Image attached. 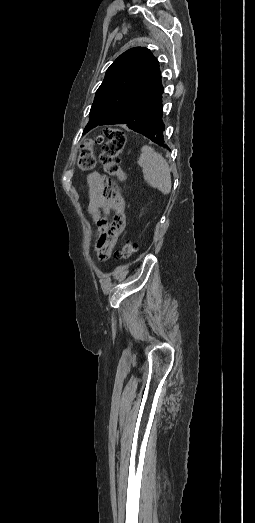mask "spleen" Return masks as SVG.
Masks as SVG:
<instances>
[{"instance_id": "spleen-1", "label": "spleen", "mask_w": 255, "mask_h": 523, "mask_svg": "<svg viewBox=\"0 0 255 523\" xmlns=\"http://www.w3.org/2000/svg\"><path fill=\"white\" fill-rule=\"evenodd\" d=\"M138 166L142 168L144 180L149 186L157 188L162 194H170L172 186L170 168L161 154L154 152L150 146H143L138 158Z\"/></svg>"}]
</instances>
